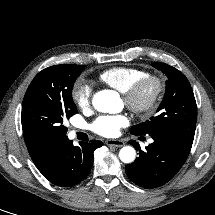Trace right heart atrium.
Instances as JSON below:
<instances>
[{
    "label": "right heart atrium",
    "mask_w": 215,
    "mask_h": 215,
    "mask_svg": "<svg viewBox=\"0 0 215 215\" xmlns=\"http://www.w3.org/2000/svg\"><path fill=\"white\" fill-rule=\"evenodd\" d=\"M92 84L86 80H79L73 87L72 99L77 107L87 108L91 103Z\"/></svg>",
    "instance_id": "1"
}]
</instances>
